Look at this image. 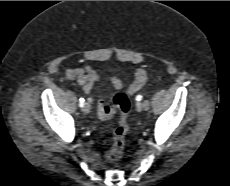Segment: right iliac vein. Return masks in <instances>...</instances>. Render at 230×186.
<instances>
[{
  "mask_svg": "<svg viewBox=\"0 0 230 186\" xmlns=\"http://www.w3.org/2000/svg\"><path fill=\"white\" fill-rule=\"evenodd\" d=\"M82 111L85 113V114H88L90 112V105L89 103H85L83 108H82Z\"/></svg>",
  "mask_w": 230,
  "mask_h": 186,
  "instance_id": "obj_1",
  "label": "right iliac vein"
}]
</instances>
